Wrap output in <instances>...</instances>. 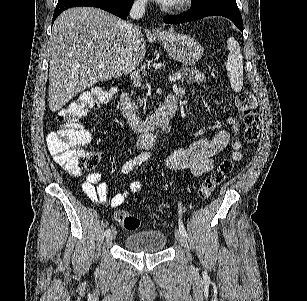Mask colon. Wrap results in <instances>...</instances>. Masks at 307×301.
Instances as JSON below:
<instances>
[{
    "label": "colon",
    "instance_id": "obj_1",
    "mask_svg": "<svg viewBox=\"0 0 307 301\" xmlns=\"http://www.w3.org/2000/svg\"><path fill=\"white\" fill-rule=\"evenodd\" d=\"M109 98L110 92L95 88L80 94L58 112L59 129L49 134L47 142L57 163L69 173L79 174L93 169L98 164L99 156L85 149L91 142V135L81 120L90 110L97 108ZM235 105L242 115L244 140L248 143L255 142L259 137L260 119L253 94L249 90L239 92ZM232 170L233 161L229 158L223 159L200 185L199 197L209 198ZM115 219L129 231L136 230L140 226L139 219L126 211L116 212Z\"/></svg>",
    "mask_w": 307,
    "mask_h": 301
}]
</instances>
